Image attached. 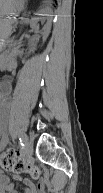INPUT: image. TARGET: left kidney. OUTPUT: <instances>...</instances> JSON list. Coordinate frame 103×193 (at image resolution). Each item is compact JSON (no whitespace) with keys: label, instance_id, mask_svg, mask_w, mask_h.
I'll list each match as a JSON object with an SVG mask.
<instances>
[{"label":"left kidney","instance_id":"5707ae66","mask_svg":"<svg viewBox=\"0 0 103 193\" xmlns=\"http://www.w3.org/2000/svg\"><path fill=\"white\" fill-rule=\"evenodd\" d=\"M35 15L37 16H46L47 20V27L45 28L43 32V42L46 41L47 37L49 36L50 29H51V16H52V10L49 7H45L43 9H40ZM39 20H45V18H39V17H34L31 19V28L32 29H37L36 24Z\"/></svg>","mask_w":103,"mask_h":193}]
</instances>
